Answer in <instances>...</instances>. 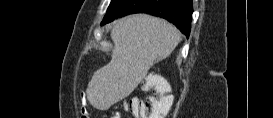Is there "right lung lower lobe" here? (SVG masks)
Instances as JSON below:
<instances>
[{"label":"right lung lower lobe","mask_w":273,"mask_h":118,"mask_svg":"<svg viewBox=\"0 0 273 118\" xmlns=\"http://www.w3.org/2000/svg\"><path fill=\"white\" fill-rule=\"evenodd\" d=\"M135 13H148L173 23L188 38L193 13L192 0H122L101 25L118 17Z\"/></svg>","instance_id":"right-lung-lower-lobe-1"}]
</instances>
